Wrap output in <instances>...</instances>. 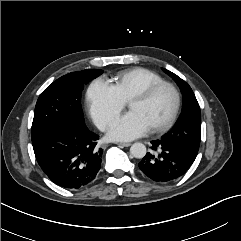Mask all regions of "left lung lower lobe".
Wrapping results in <instances>:
<instances>
[{"mask_svg":"<svg viewBox=\"0 0 241 241\" xmlns=\"http://www.w3.org/2000/svg\"><path fill=\"white\" fill-rule=\"evenodd\" d=\"M148 152L139 163L141 171L155 182H168L183 176L195 158L176 144L158 139L151 142Z\"/></svg>","mask_w":241,"mask_h":241,"instance_id":"obj_1","label":"left lung lower lobe"}]
</instances>
